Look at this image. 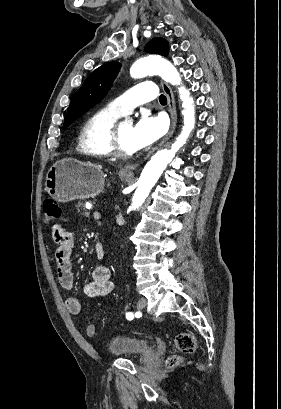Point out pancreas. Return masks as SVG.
<instances>
[{"instance_id":"obj_1","label":"pancreas","mask_w":281,"mask_h":409,"mask_svg":"<svg viewBox=\"0 0 281 409\" xmlns=\"http://www.w3.org/2000/svg\"><path fill=\"white\" fill-rule=\"evenodd\" d=\"M78 207H84L83 202H79ZM83 211H86V209H83Z\"/></svg>"}]
</instances>
